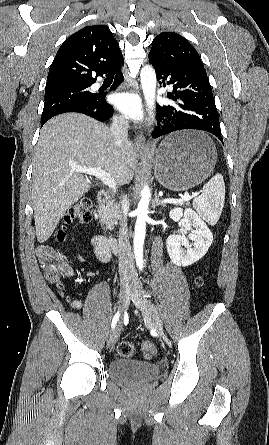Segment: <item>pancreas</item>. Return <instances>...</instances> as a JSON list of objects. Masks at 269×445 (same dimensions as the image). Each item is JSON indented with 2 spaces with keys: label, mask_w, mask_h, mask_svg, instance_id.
Masks as SVG:
<instances>
[{
  "label": "pancreas",
  "mask_w": 269,
  "mask_h": 445,
  "mask_svg": "<svg viewBox=\"0 0 269 445\" xmlns=\"http://www.w3.org/2000/svg\"><path fill=\"white\" fill-rule=\"evenodd\" d=\"M189 205V203H187ZM99 214L101 221L106 224V226L112 230L117 221L121 218L122 211L120 205L115 203L113 200L107 201L99 209Z\"/></svg>",
  "instance_id": "pancreas-1"
}]
</instances>
